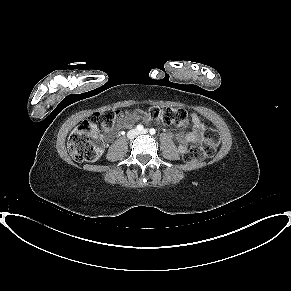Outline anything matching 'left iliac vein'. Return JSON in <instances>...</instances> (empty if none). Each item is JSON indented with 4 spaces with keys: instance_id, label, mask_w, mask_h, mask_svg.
Listing matches in <instances>:
<instances>
[{
    "instance_id": "4c4485c4",
    "label": "left iliac vein",
    "mask_w": 291,
    "mask_h": 291,
    "mask_svg": "<svg viewBox=\"0 0 291 291\" xmlns=\"http://www.w3.org/2000/svg\"><path fill=\"white\" fill-rule=\"evenodd\" d=\"M148 130L147 129H143L142 131L138 132V134H147Z\"/></svg>"
}]
</instances>
